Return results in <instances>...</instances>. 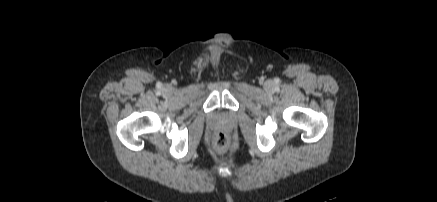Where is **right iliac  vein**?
I'll use <instances>...</instances> for the list:
<instances>
[{"instance_id":"1","label":"right iliac vein","mask_w":437,"mask_h":202,"mask_svg":"<svg viewBox=\"0 0 437 202\" xmlns=\"http://www.w3.org/2000/svg\"><path fill=\"white\" fill-rule=\"evenodd\" d=\"M167 91H168V92H170V91H171V89H170V88H168V89H167Z\"/></svg>"}]
</instances>
